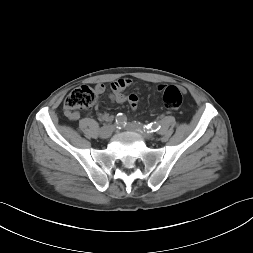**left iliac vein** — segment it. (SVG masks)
Returning a JSON list of instances; mask_svg holds the SVG:
<instances>
[{
    "mask_svg": "<svg viewBox=\"0 0 253 253\" xmlns=\"http://www.w3.org/2000/svg\"><path fill=\"white\" fill-rule=\"evenodd\" d=\"M125 129L128 131L136 132L145 139H148V140L154 139V135L148 132L147 130H145L144 127L139 123L128 124L125 126Z\"/></svg>",
    "mask_w": 253,
    "mask_h": 253,
    "instance_id": "1",
    "label": "left iliac vein"
}]
</instances>
